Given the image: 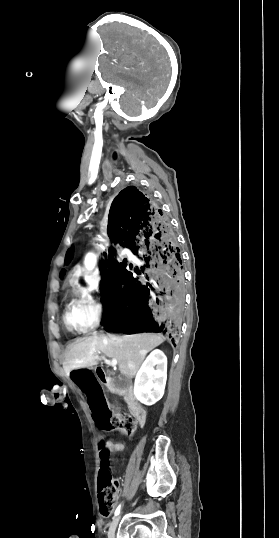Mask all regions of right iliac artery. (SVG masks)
<instances>
[{
    "instance_id": "obj_1",
    "label": "right iliac artery",
    "mask_w": 279,
    "mask_h": 538,
    "mask_svg": "<svg viewBox=\"0 0 279 538\" xmlns=\"http://www.w3.org/2000/svg\"><path fill=\"white\" fill-rule=\"evenodd\" d=\"M120 509H121V504L115 510V516H117L120 513Z\"/></svg>"
}]
</instances>
